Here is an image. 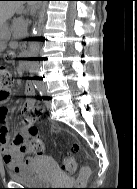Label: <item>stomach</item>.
<instances>
[{
  "label": "stomach",
  "instance_id": "stomach-1",
  "mask_svg": "<svg viewBox=\"0 0 137 189\" xmlns=\"http://www.w3.org/2000/svg\"><path fill=\"white\" fill-rule=\"evenodd\" d=\"M10 38V32L7 25L0 27V49L4 45L5 41Z\"/></svg>",
  "mask_w": 137,
  "mask_h": 189
}]
</instances>
